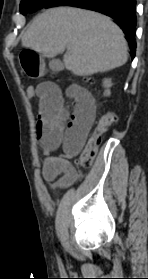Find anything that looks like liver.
<instances>
[{
    "label": "liver",
    "mask_w": 148,
    "mask_h": 279,
    "mask_svg": "<svg viewBox=\"0 0 148 279\" xmlns=\"http://www.w3.org/2000/svg\"><path fill=\"white\" fill-rule=\"evenodd\" d=\"M22 46L63 61L77 76H89L124 65L127 42L109 17L73 7H56L37 16L22 37Z\"/></svg>",
    "instance_id": "1"
}]
</instances>
